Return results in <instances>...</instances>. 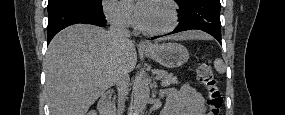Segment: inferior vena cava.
I'll list each match as a JSON object with an SVG mask.
<instances>
[{"mask_svg":"<svg viewBox=\"0 0 285 115\" xmlns=\"http://www.w3.org/2000/svg\"><path fill=\"white\" fill-rule=\"evenodd\" d=\"M109 35L111 38L118 43H125L129 41L130 32L125 24V21L120 19H114L111 22ZM113 81L116 84L118 90V103L116 105V110H118L119 115L125 114V109L123 106L125 101H128L129 90H127V84L129 82V76L127 70L124 66H117L113 73Z\"/></svg>","mask_w":285,"mask_h":115,"instance_id":"obj_1","label":"inferior vena cava"}]
</instances>
